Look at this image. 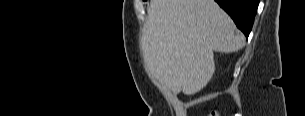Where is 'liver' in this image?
<instances>
[{
    "label": "liver",
    "mask_w": 305,
    "mask_h": 116,
    "mask_svg": "<svg viewBox=\"0 0 305 116\" xmlns=\"http://www.w3.org/2000/svg\"><path fill=\"white\" fill-rule=\"evenodd\" d=\"M144 25L145 67L172 90L192 95L215 71L213 51L236 52L244 36L214 0H151Z\"/></svg>",
    "instance_id": "obj_1"
}]
</instances>
